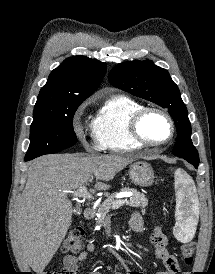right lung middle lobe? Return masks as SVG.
Returning a JSON list of instances; mask_svg holds the SVG:
<instances>
[{
    "mask_svg": "<svg viewBox=\"0 0 215 274\" xmlns=\"http://www.w3.org/2000/svg\"><path fill=\"white\" fill-rule=\"evenodd\" d=\"M81 103L35 104L30 146L25 160L59 152L76 144L73 116Z\"/></svg>",
    "mask_w": 215,
    "mask_h": 274,
    "instance_id": "obj_1",
    "label": "right lung middle lobe"
}]
</instances>
